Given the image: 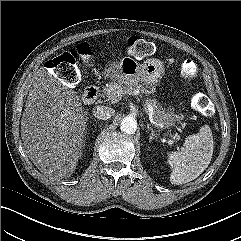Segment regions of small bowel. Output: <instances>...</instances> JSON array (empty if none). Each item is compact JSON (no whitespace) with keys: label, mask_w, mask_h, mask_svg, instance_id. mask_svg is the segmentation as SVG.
<instances>
[{"label":"small bowel","mask_w":241,"mask_h":241,"mask_svg":"<svg viewBox=\"0 0 241 241\" xmlns=\"http://www.w3.org/2000/svg\"><path fill=\"white\" fill-rule=\"evenodd\" d=\"M79 56L81 57V60L84 65L88 66L91 61L90 51L91 47L87 43H83L79 46Z\"/></svg>","instance_id":"c3829d8e"}]
</instances>
